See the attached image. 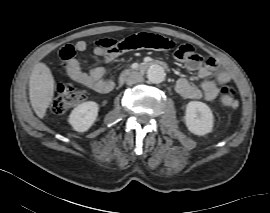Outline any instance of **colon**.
Masks as SVG:
<instances>
[{
    "label": "colon",
    "instance_id": "obj_1",
    "mask_svg": "<svg viewBox=\"0 0 270 213\" xmlns=\"http://www.w3.org/2000/svg\"><path fill=\"white\" fill-rule=\"evenodd\" d=\"M121 47L124 49H149L154 52H163L176 47L175 59L178 61L184 60L185 54L189 51L188 44H176L160 35L140 33L137 35L128 36L120 41ZM191 60L195 63H207L209 59L198 53H191ZM63 65L66 67L67 62ZM236 89L232 85H225L221 88L218 103L223 108H234L237 105ZM85 93L71 85L61 83L57 85L55 97L52 102V111L58 114L64 113L69 109L74 108L85 99Z\"/></svg>",
    "mask_w": 270,
    "mask_h": 213
}]
</instances>
